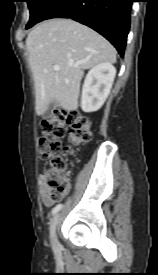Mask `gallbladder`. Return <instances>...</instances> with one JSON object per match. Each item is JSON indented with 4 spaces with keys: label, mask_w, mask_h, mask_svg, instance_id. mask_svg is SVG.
Masks as SVG:
<instances>
[{
    "label": "gallbladder",
    "mask_w": 158,
    "mask_h": 275,
    "mask_svg": "<svg viewBox=\"0 0 158 275\" xmlns=\"http://www.w3.org/2000/svg\"><path fill=\"white\" fill-rule=\"evenodd\" d=\"M57 106V103L52 101L48 107H47V110L46 112L43 114L45 117L49 116L51 114V112L56 108Z\"/></svg>",
    "instance_id": "1"
}]
</instances>
